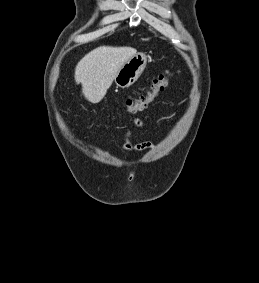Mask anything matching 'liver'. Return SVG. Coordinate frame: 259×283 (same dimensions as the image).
<instances>
[{
    "instance_id": "6515ba94",
    "label": "liver",
    "mask_w": 259,
    "mask_h": 283,
    "mask_svg": "<svg viewBox=\"0 0 259 283\" xmlns=\"http://www.w3.org/2000/svg\"><path fill=\"white\" fill-rule=\"evenodd\" d=\"M134 55L131 47L100 46L86 54L75 68V81L81 83L84 97L91 103L106 95L121 67Z\"/></svg>"
}]
</instances>
